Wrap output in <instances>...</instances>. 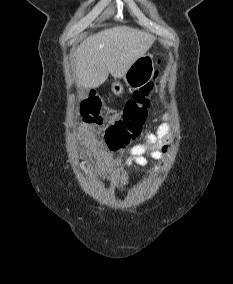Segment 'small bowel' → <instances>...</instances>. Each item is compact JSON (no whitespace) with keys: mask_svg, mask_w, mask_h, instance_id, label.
I'll return each instance as SVG.
<instances>
[{"mask_svg":"<svg viewBox=\"0 0 233 284\" xmlns=\"http://www.w3.org/2000/svg\"><path fill=\"white\" fill-rule=\"evenodd\" d=\"M166 116L162 118V123L158 126L155 132L146 135L145 142L132 146L128 151V156L124 161L112 159L107 156L106 166L108 172V180L114 185H121L125 180L124 166H146L148 157L159 160L163 157L167 150L166 140L169 127L165 120Z\"/></svg>","mask_w":233,"mask_h":284,"instance_id":"obj_1","label":"small bowel"}]
</instances>
